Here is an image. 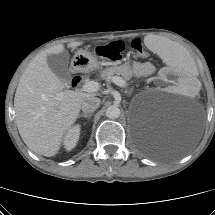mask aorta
Masks as SVG:
<instances>
[{
    "mask_svg": "<svg viewBox=\"0 0 215 215\" xmlns=\"http://www.w3.org/2000/svg\"><path fill=\"white\" fill-rule=\"evenodd\" d=\"M105 114L110 119H116L120 116L121 111L118 106L111 105L106 109Z\"/></svg>",
    "mask_w": 215,
    "mask_h": 215,
    "instance_id": "obj_1",
    "label": "aorta"
}]
</instances>
